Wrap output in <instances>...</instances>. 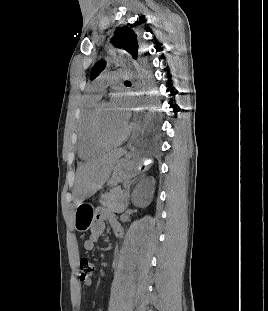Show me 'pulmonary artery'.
<instances>
[{"instance_id":"e3ab8cb5","label":"pulmonary artery","mask_w":268,"mask_h":311,"mask_svg":"<svg viewBox=\"0 0 268 311\" xmlns=\"http://www.w3.org/2000/svg\"><path fill=\"white\" fill-rule=\"evenodd\" d=\"M129 77H131V73L125 69H118L108 74H104L98 77L97 80L93 83L91 91L94 93V95L101 97V93L107 85L115 82H121L122 80L128 79Z\"/></svg>"}]
</instances>
